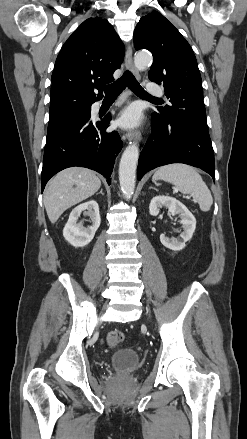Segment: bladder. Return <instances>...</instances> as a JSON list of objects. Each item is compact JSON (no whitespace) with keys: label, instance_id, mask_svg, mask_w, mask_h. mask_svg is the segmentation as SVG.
Returning <instances> with one entry per match:
<instances>
[{"label":"bladder","instance_id":"bladder-1","mask_svg":"<svg viewBox=\"0 0 247 439\" xmlns=\"http://www.w3.org/2000/svg\"><path fill=\"white\" fill-rule=\"evenodd\" d=\"M112 367L120 373L136 370L140 365V356L131 348H124L114 352L110 358Z\"/></svg>","mask_w":247,"mask_h":439}]
</instances>
